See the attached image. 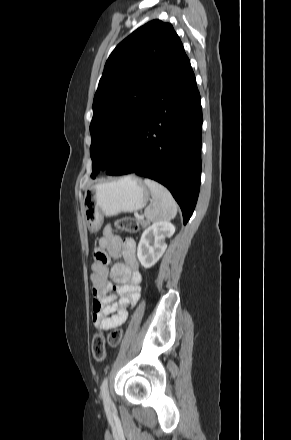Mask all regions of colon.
Instances as JSON below:
<instances>
[{
  "label": "colon",
  "mask_w": 291,
  "mask_h": 440,
  "mask_svg": "<svg viewBox=\"0 0 291 440\" xmlns=\"http://www.w3.org/2000/svg\"><path fill=\"white\" fill-rule=\"evenodd\" d=\"M116 227L119 230L130 232L136 234L139 232L140 228L137 222L130 218L124 217L116 222ZM121 333L118 331H114L109 335V343L113 346H117L121 341ZM106 339L104 335L97 333L92 338V354L97 361H103L106 358V349H105Z\"/></svg>",
  "instance_id": "colon-1"
}]
</instances>
